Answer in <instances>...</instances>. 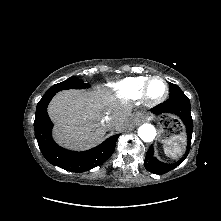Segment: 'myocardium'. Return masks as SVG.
Instances as JSON below:
<instances>
[{
    "label": "myocardium",
    "mask_w": 221,
    "mask_h": 221,
    "mask_svg": "<svg viewBox=\"0 0 221 221\" xmlns=\"http://www.w3.org/2000/svg\"><path fill=\"white\" fill-rule=\"evenodd\" d=\"M155 80H160L164 84V87H165L164 93L160 97H157V98H153L149 94L150 86L152 82ZM168 95H169V85L167 81L161 76H152L147 80L143 88L141 97H142V102L145 106H155L164 102L167 99Z\"/></svg>",
    "instance_id": "obj_1"
}]
</instances>
